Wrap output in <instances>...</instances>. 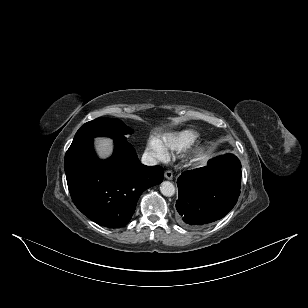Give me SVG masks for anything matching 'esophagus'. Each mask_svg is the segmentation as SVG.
<instances>
[{"instance_id":"1","label":"esophagus","mask_w":308,"mask_h":308,"mask_svg":"<svg viewBox=\"0 0 308 308\" xmlns=\"http://www.w3.org/2000/svg\"><path fill=\"white\" fill-rule=\"evenodd\" d=\"M164 176L166 179L171 180L173 178V172L170 170L165 171Z\"/></svg>"}]
</instances>
